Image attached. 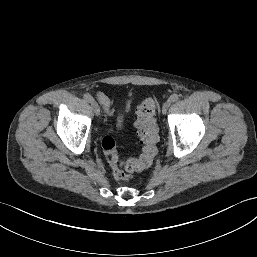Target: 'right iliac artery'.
Returning a JSON list of instances; mask_svg holds the SVG:
<instances>
[{"label": "right iliac artery", "mask_w": 257, "mask_h": 257, "mask_svg": "<svg viewBox=\"0 0 257 257\" xmlns=\"http://www.w3.org/2000/svg\"><path fill=\"white\" fill-rule=\"evenodd\" d=\"M84 99L90 103L94 100L93 97L88 93L84 94Z\"/></svg>", "instance_id": "1"}]
</instances>
